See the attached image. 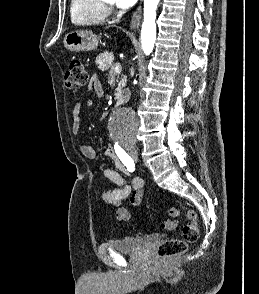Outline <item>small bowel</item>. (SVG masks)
I'll list each match as a JSON object with an SVG mask.
<instances>
[{"instance_id": "c3829d8e", "label": "small bowel", "mask_w": 259, "mask_h": 294, "mask_svg": "<svg viewBox=\"0 0 259 294\" xmlns=\"http://www.w3.org/2000/svg\"><path fill=\"white\" fill-rule=\"evenodd\" d=\"M89 88L93 89L98 97L104 95L103 87L95 77L92 78ZM81 109V103H76L72 110V130L75 134H79L82 131ZM80 152L85 158L90 160H97L100 156L105 155L109 156L114 161L115 170H103V176L117 186L112 190L103 191L102 199L106 204L119 207L124 200L128 199L133 207L137 208L140 206L144 195V181L139 177H133L131 179H126L124 177L130 176V171L119 159L113 147L106 146L100 154H97L91 145L83 144L80 146ZM130 217L131 214L127 209L122 207L117 209L116 218L119 221H128Z\"/></svg>"}]
</instances>
